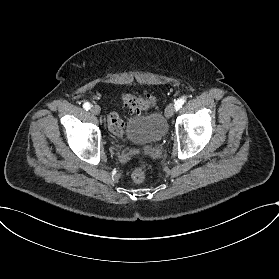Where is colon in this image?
<instances>
[{"label": "colon", "mask_w": 279, "mask_h": 279, "mask_svg": "<svg viewBox=\"0 0 279 279\" xmlns=\"http://www.w3.org/2000/svg\"><path fill=\"white\" fill-rule=\"evenodd\" d=\"M121 100L124 106L132 113H142L152 111L156 106V98L151 94H134L123 93ZM108 125L110 131L117 137L124 139V123L120 115L116 112L108 114ZM131 177L134 182L142 183L145 180L146 175V159L142 156H138L133 159L131 165Z\"/></svg>", "instance_id": "5ec220e1"}]
</instances>
